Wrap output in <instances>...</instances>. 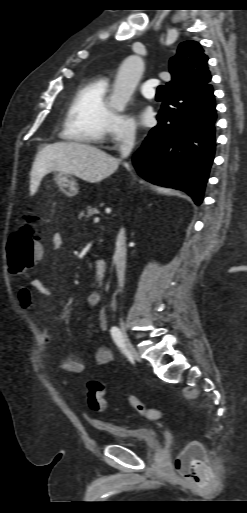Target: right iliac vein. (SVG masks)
I'll return each instance as SVG.
<instances>
[{
	"instance_id": "right-iliac-vein-1",
	"label": "right iliac vein",
	"mask_w": 247,
	"mask_h": 513,
	"mask_svg": "<svg viewBox=\"0 0 247 513\" xmlns=\"http://www.w3.org/2000/svg\"><path fill=\"white\" fill-rule=\"evenodd\" d=\"M121 330H122V335H123V338H124V341H125V344H126V346H127V348H128L129 353L131 354V356H133V357H134V359H135L136 361H140V359H139V357H138V354H137V352H136V350H135V348H134V346H133L132 342L130 341V339H129V337H128V334H127V332H126V327H125V325H124V324H122V326H121Z\"/></svg>"
}]
</instances>
